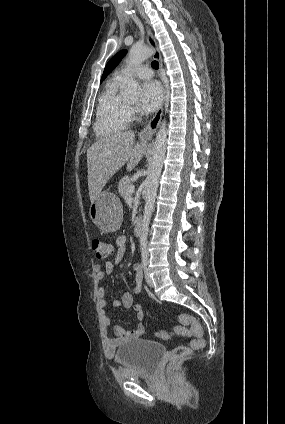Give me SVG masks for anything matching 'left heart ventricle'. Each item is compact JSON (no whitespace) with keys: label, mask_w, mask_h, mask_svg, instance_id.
Segmentation results:
<instances>
[{"label":"left heart ventricle","mask_w":285,"mask_h":424,"mask_svg":"<svg viewBox=\"0 0 285 424\" xmlns=\"http://www.w3.org/2000/svg\"><path fill=\"white\" fill-rule=\"evenodd\" d=\"M129 102L132 103V104H134V103H136V100L135 99H130Z\"/></svg>","instance_id":"obj_1"}]
</instances>
